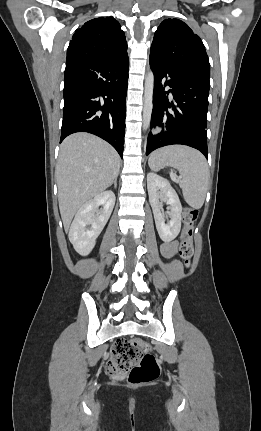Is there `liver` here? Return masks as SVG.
<instances>
[{
  "mask_svg": "<svg viewBox=\"0 0 261 431\" xmlns=\"http://www.w3.org/2000/svg\"><path fill=\"white\" fill-rule=\"evenodd\" d=\"M119 169L120 157L116 150L95 135L75 133L62 142L56 180L65 231L76 212L113 183Z\"/></svg>",
  "mask_w": 261,
  "mask_h": 431,
  "instance_id": "1",
  "label": "liver"
}]
</instances>
